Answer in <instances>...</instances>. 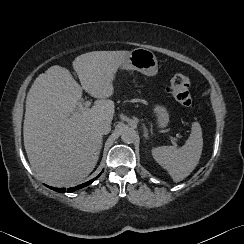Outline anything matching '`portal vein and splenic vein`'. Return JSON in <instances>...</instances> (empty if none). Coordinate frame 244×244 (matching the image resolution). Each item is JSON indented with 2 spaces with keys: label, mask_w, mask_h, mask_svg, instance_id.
Segmentation results:
<instances>
[{
  "label": "portal vein and splenic vein",
  "mask_w": 244,
  "mask_h": 244,
  "mask_svg": "<svg viewBox=\"0 0 244 244\" xmlns=\"http://www.w3.org/2000/svg\"><path fill=\"white\" fill-rule=\"evenodd\" d=\"M83 105H84L85 108H87V107H89L91 105V102L90 101H86L85 103H83ZM170 139H171V142L173 143V145L175 147H177V143H176L177 139L175 137H170Z\"/></svg>",
  "instance_id": "1"
}]
</instances>
